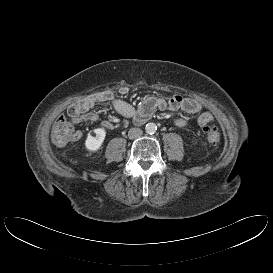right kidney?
I'll return each mask as SVG.
<instances>
[{
	"label": "right kidney",
	"instance_id": "ca27d5eb",
	"mask_svg": "<svg viewBox=\"0 0 273 273\" xmlns=\"http://www.w3.org/2000/svg\"><path fill=\"white\" fill-rule=\"evenodd\" d=\"M94 133L95 136L88 134L85 141V146L90 151H97L100 149L106 136V130L104 128H97L94 130Z\"/></svg>",
	"mask_w": 273,
	"mask_h": 273
}]
</instances>
